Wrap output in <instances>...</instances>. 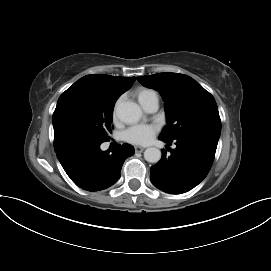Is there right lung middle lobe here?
<instances>
[{"label": "right lung middle lobe", "instance_id": "1", "mask_svg": "<svg viewBox=\"0 0 271 271\" xmlns=\"http://www.w3.org/2000/svg\"><path fill=\"white\" fill-rule=\"evenodd\" d=\"M115 102L80 88L62 93L53 113L56 154L108 140Z\"/></svg>", "mask_w": 271, "mask_h": 271}]
</instances>
